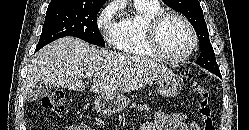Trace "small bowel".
Here are the masks:
<instances>
[{
	"label": "small bowel",
	"mask_w": 249,
	"mask_h": 130,
	"mask_svg": "<svg viewBox=\"0 0 249 130\" xmlns=\"http://www.w3.org/2000/svg\"><path fill=\"white\" fill-rule=\"evenodd\" d=\"M61 130H94L84 124H70ZM140 130H200L198 124L188 120L187 115L179 112H160L151 123Z\"/></svg>",
	"instance_id": "obj_1"
}]
</instances>
